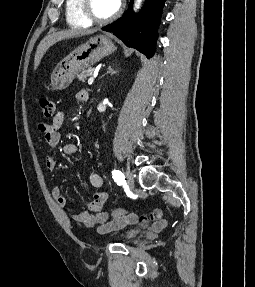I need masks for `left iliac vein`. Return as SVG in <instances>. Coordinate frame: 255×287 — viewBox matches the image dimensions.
Segmentation results:
<instances>
[{"label": "left iliac vein", "instance_id": "1", "mask_svg": "<svg viewBox=\"0 0 255 287\" xmlns=\"http://www.w3.org/2000/svg\"><path fill=\"white\" fill-rule=\"evenodd\" d=\"M125 177H126V183H127L128 187L130 189H133L134 188V178H133L132 173L129 170H127L125 172Z\"/></svg>", "mask_w": 255, "mask_h": 287}]
</instances>
